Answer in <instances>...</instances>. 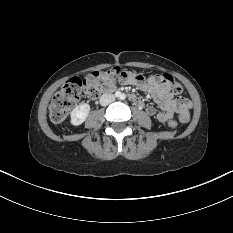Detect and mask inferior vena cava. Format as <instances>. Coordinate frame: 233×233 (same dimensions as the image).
Returning a JSON list of instances; mask_svg holds the SVG:
<instances>
[{"mask_svg": "<svg viewBox=\"0 0 233 233\" xmlns=\"http://www.w3.org/2000/svg\"><path fill=\"white\" fill-rule=\"evenodd\" d=\"M114 100H115V96L113 94L105 93L100 98V104L102 106H107L108 104H110Z\"/></svg>", "mask_w": 233, "mask_h": 233, "instance_id": "obj_1", "label": "inferior vena cava"}]
</instances>
